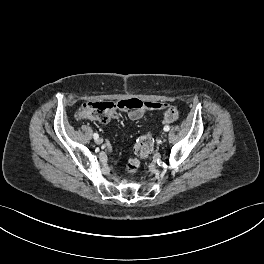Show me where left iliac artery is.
<instances>
[{"instance_id":"44dca946","label":"left iliac artery","mask_w":264,"mask_h":264,"mask_svg":"<svg viewBox=\"0 0 264 264\" xmlns=\"http://www.w3.org/2000/svg\"><path fill=\"white\" fill-rule=\"evenodd\" d=\"M169 130H170V127H169L168 125H165V126H164V131L167 132V131H169Z\"/></svg>"}]
</instances>
